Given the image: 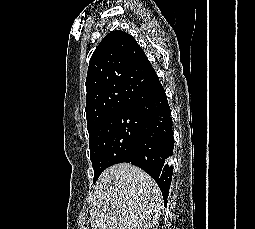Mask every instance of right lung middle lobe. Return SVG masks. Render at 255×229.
Listing matches in <instances>:
<instances>
[{
  "label": "right lung middle lobe",
  "mask_w": 255,
  "mask_h": 229,
  "mask_svg": "<svg viewBox=\"0 0 255 229\" xmlns=\"http://www.w3.org/2000/svg\"><path fill=\"white\" fill-rule=\"evenodd\" d=\"M141 124V119L137 115L124 109L99 125L89 136L94 183L107 167L130 161Z\"/></svg>",
  "instance_id": "dd1d6c3e"
}]
</instances>
